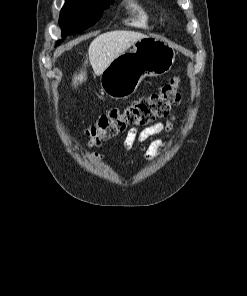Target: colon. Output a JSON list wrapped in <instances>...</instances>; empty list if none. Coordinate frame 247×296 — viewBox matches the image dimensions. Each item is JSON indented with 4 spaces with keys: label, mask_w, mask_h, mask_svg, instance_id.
<instances>
[{
    "label": "colon",
    "mask_w": 247,
    "mask_h": 296,
    "mask_svg": "<svg viewBox=\"0 0 247 296\" xmlns=\"http://www.w3.org/2000/svg\"><path fill=\"white\" fill-rule=\"evenodd\" d=\"M180 92V81L174 77L157 92L134 100L124 108L108 110L87 127L89 145L96 147L130 125L142 126L165 117L178 103Z\"/></svg>",
    "instance_id": "5ec220e1"
}]
</instances>
